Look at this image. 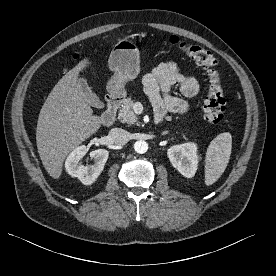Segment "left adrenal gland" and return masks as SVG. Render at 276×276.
<instances>
[{
	"mask_svg": "<svg viewBox=\"0 0 276 276\" xmlns=\"http://www.w3.org/2000/svg\"><path fill=\"white\" fill-rule=\"evenodd\" d=\"M166 134H168V132H167V131H165V132H163V133H162V135H166Z\"/></svg>",
	"mask_w": 276,
	"mask_h": 276,
	"instance_id": "left-adrenal-gland-1",
	"label": "left adrenal gland"
}]
</instances>
